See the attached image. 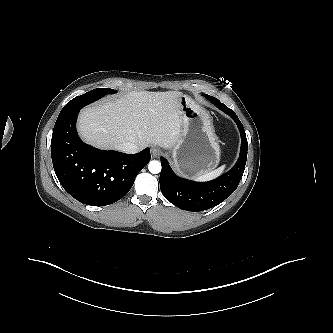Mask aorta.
I'll return each mask as SVG.
<instances>
[{"instance_id":"1","label":"aorta","mask_w":333,"mask_h":333,"mask_svg":"<svg viewBox=\"0 0 333 333\" xmlns=\"http://www.w3.org/2000/svg\"><path fill=\"white\" fill-rule=\"evenodd\" d=\"M148 169L152 174H158L161 171V163L157 160H152L148 164Z\"/></svg>"}]
</instances>
